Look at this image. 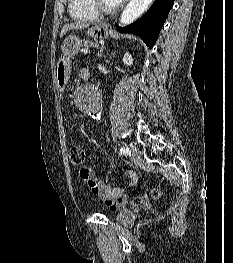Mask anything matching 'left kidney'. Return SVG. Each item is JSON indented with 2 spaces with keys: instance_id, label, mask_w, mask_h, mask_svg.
Segmentation results:
<instances>
[{
  "instance_id": "obj_1",
  "label": "left kidney",
  "mask_w": 233,
  "mask_h": 263,
  "mask_svg": "<svg viewBox=\"0 0 233 263\" xmlns=\"http://www.w3.org/2000/svg\"><path fill=\"white\" fill-rule=\"evenodd\" d=\"M123 63L127 66H131L133 64V58H132L131 54L125 53V55L123 57Z\"/></svg>"
}]
</instances>
